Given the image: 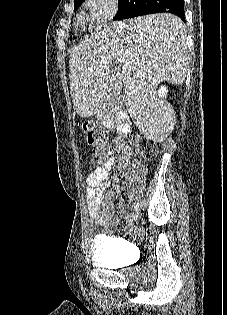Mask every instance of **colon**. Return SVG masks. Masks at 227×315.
Returning a JSON list of instances; mask_svg holds the SVG:
<instances>
[{"instance_id":"obj_1","label":"colon","mask_w":227,"mask_h":315,"mask_svg":"<svg viewBox=\"0 0 227 315\" xmlns=\"http://www.w3.org/2000/svg\"><path fill=\"white\" fill-rule=\"evenodd\" d=\"M82 131L87 137L88 145L97 149L102 148L104 144V134L92 121H85L82 124ZM132 144L140 154L147 158H152L156 155L157 147L155 143L145 137L133 135Z\"/></svg>"}]
</instances>
